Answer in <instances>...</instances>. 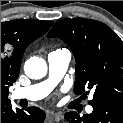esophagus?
Returning <instances> with one entry per match:
<instances>
[{
	"label": "esophagus",
	"mask_w": 123,
	"mask_h": 123,
	"mask_svg": "<svg viewBox=\"0 0 123 123\" xmlns=\"http://www.w3.org/2000/svg\"><path fill=\"white\" fill-rule=\"evenodd\" d=\"M49 118L53 119L56 122L63 120V115L61 113H50L48 115Z\"/></svg>",
	"instance_id": "34e87169"
}]
</instances>
